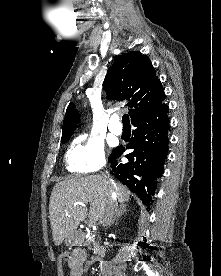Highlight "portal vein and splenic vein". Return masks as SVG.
Instances as JSON below:
<instances>
[{"label": "portal vein and splenic vein", "mask_w": 221, "mask_h": 276, "mask_svg": "<svg viewBox=\"0 0 221 276\" xmlns=\"http://www.w3.org/2000/svg\"><path fill=\"white\" fill-rule=\"evenodd\" d=\"M77 204L83 205V204H82V203H80V202H79V203H77ZM88 226H89V227H92V226H93V222H90V221H89Z\"/></svg>", "instance_id": "obj_1"}]
</instances>
